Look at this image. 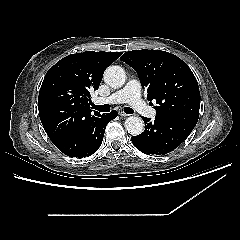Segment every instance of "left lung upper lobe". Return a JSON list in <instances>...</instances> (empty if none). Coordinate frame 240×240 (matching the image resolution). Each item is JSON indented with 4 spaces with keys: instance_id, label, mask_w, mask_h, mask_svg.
<instances>
[{
    "instance_id": "1",
    "label": "left lung upper lobe",
    "mask_w": 240,
    "mask_h": 240,
    "mask_svg": "<svg viewBox=\"0 0 240 240\" xmlns=\"http://www.w3.org/2000/svg\"><path fill=\"white\" fill-rule=\"evenodd\" d=\"M138 74L148 100H156V116L199 117L200 92L187 64L177 56L158 50H133L121 58Z\"/></svg>"
}]
</instances>
